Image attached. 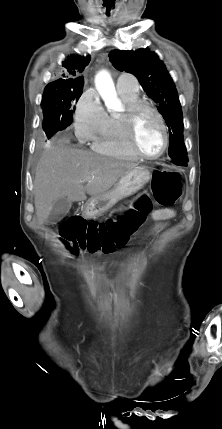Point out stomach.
I'll return each mask as SVG.
<instances>
[{"label": "stomach", "instance_id": "obj_1", "mask_svg": "<svg viewBox=\"0 0 222 429\" xmlns=\"http://www.w3.org/2000/svg\"><path fill=\"white\" fill-rule=\"evenodd\" d=\"M152 178L150 170L145 166L136 167L124 176L110 191L90 198L85 206V216L92 218L112 208L118 201L141 190Z\"/></svg>", "mask_w": 222, "mask_h": 429}]
</instances>
